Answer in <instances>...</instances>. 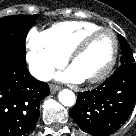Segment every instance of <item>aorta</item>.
Wrapping results in <instances>:
<instances>
[{
  "mask_svg": "<svg viewBox=\"0 0 136 136\" xmlns=\"http://www.w3.org/2000/svg\"><path fill=\"white\" fill-rule=\"evenodd\" d=\"M58 98L60 103L67 107L73 106L76 101L74 93L69 89L60 91Z\"/></svg>",
  "mask_w": 136,
  "mask_h": 136,
  "instance_id": "1",
  "label": "aorta"
}]
</instances>
